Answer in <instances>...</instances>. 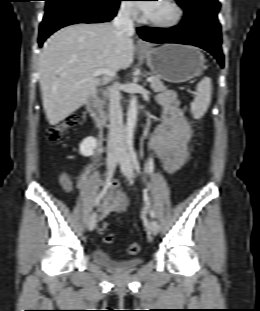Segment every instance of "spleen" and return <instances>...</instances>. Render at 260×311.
Masks as SVG:
<instances>
[{
  "mask_svg": "<svg viewBox=\"0 0 260 311\" xmlns=\"http://www.w3.org/2000/svg\"><path fill=\"white\" fill-rule=\"evenodd\" d=\"M212 84L209 77H204L196 87V96L191 103V112L195 119L201 118L211 102Z\"/></svg>",
  "mask_w": 260,
  "mask_h": 311,
  "instance_id": "1",
  "label": "spleen"
}]
</instances>
